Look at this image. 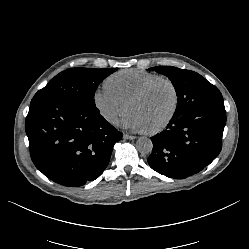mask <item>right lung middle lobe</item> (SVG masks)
Here are the masks:
<instances>
[{
  "mask_svg": "<svg viewBox=\"0 0 249 249\" xmlns=\"http://www.w3.org/2000/svg\"><path fill=\"white\" fill-rule=\"evenodd\" d=\"M117 68L91 69L71 68L56 75L33 97L31 105L37 102L68 99L86 106L96 107L95 91L99 83Z\"/></svg>",
  "mask_w": 249,
  "mask_h": 249,
  "instance_id": "obj_1",
  "label": "right lung middle lobe"
}]
</instances>
